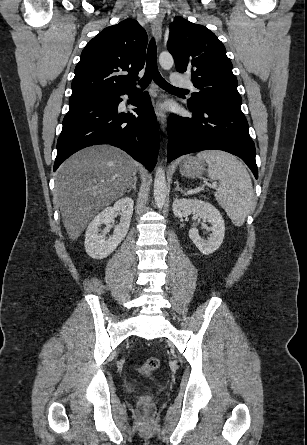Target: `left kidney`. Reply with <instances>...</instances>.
Masks as SVG:
<instances>
[{"instance_id":"obj_1","label":"left kidney","mask_w":307,"mask_h":445,"mask_svg":"<svg viewBox=\"0 0 307 445\" xmlns=\"http://www.w3.org/2000/svg\"><path fill=\"white\" fill-rule=\"evenodd\" d=\"M173 212L175 216L181 218V216H188L191 212H196L198 216L207 220V223L212 225L210 231H212L208 241L201 239L198 229H191L189 231V237L196 245L197 249L203 253V255H211L219 249L221 243H223L225 235V225L223 216H221L219 210L205 200H198V198H177L172 204Z\"/></svg>"}]
</instances>
